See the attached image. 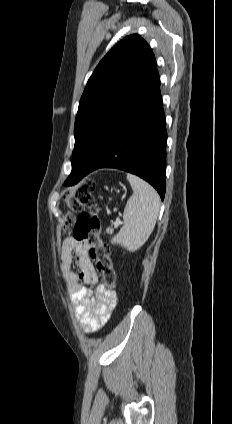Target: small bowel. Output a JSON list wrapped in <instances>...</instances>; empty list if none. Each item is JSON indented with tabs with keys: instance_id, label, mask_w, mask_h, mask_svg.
<instances>
[{
	"instance_id": "small-bowel-1",
	"label": "small bowel",
	"mask_w": 232,
	"mask_h": 424,
	"mask_svg": "<svg viewBox=\"0 0 232 424\" xmlns=\"http://www.w3.org/2000/svg\"><path fill=\"white\" fill-rule=\"evenodd\" d=\"M76 265L78 272L72 269ZM60 271L66 284L70 304L86 333L100 330L110 319L116 296L98 285L97 271L88 255L86 242L66 238L60 248ZM97 286L94 292L91 287Z\"/></svg>"
}]
</instances>
